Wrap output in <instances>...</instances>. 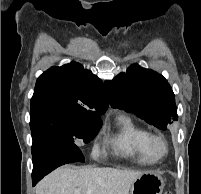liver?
<instances>
[{
    "instance_id": "6515ba94",
    "label": "liver",
    "mask_w": 201,
    "mask_h": 194,
    "mask_svg": "<svg viewBox=\"0 0 201 194\" xmlns=\"http://www.w3.org/2000/svg\"><path fill=\"white\" fill-rule=\"evenodd\" d=\"M143 172L109 167L73 168L63 166L36 186V194H129L131 185Z\"/></svg>"
}]
</instances>
